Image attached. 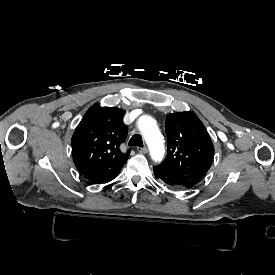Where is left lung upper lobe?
<instances>
[{
	"label": "left lung upper lobe",
	"mask_w": 275,
	"mask_h": 275,
	"mask_svg": "<svg viewBox=\"0 0 275 275\" xmlns=\"http://www.w3.org/2000/svg\"><path fill=\"white\" fill-rule=\"evenodd\" d=\"M167 156L160 166L191 188L209 170L214 146L203 123L193 112L166 117Z\"/></svg>",
	"instance_id": "left-lung-upper-lobe-1"
}]
</instances>
